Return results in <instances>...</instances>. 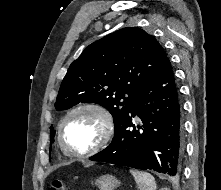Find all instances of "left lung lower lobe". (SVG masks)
Listing matches in <instances>:
<instances>
[{"label":"left lung lower lobe","instance_id":"left-lung-lower-lobe-1","mask_svg":"<svg viewBox=\"0 0 221 190\" xmlns=\"http://www.w3.org/2000/svg\"><path fill=\"white\" fill-rule=\"evenodd\" d=\"M181 118L178 88L167 57L115 125L111 144L89 159L179 176L184 153Z\"/></svg>","mask_w":221,"mask_h":190}]
</instances>
